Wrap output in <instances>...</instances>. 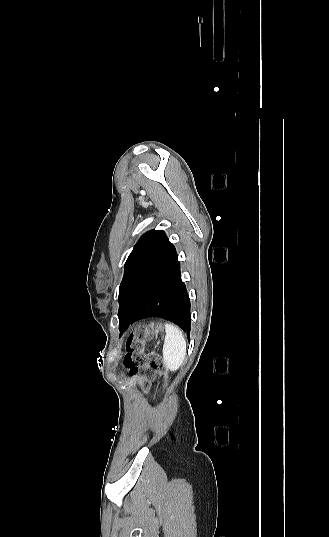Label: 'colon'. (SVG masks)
<instances>
[{"instance_id":"1","label":"colon","mask_w":329,"mask_h":537,"mask_svg":"<svg viewBox=\"0 0 329 537\" xmlns=\"http://www.w3.org/2000/svg\"><path fill=\"white\" fill-rule=\"evenodd\" d=\"M148 334L143 330H136L127 342V351L124 364L132 375L137 377L141 388L149 385V379L156 375H166V369L159 354L145 353V344Z\"/></svg>"}]
</instances>
